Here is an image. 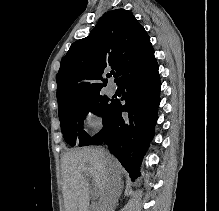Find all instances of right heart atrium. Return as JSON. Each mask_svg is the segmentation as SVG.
<instances>
[{"instance_id":"right-heart-atrium-1","label":"right heart atrium","mask_w":219,"mask_h":211,"mask_svg":"<svg viewBox=\"0 0 219 211\" xmlns=\"http://www.w3.org/2000/svg\"><path fill=\"white\" fill-rule=\"evenodd\" d=\"M103 123L102 116L94 109H89L84 115V124L92 132L98 131Z\"/></svg>"}]
</instances>
